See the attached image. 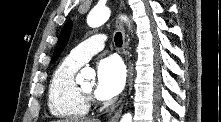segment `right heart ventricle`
Segmentation results:
<instances>
[{
	"instance_id": "obj_1",
	"label": "right heart ventricle",
	"mask_w": 221,
	"mask_h": 122,
	"mask_svg": "<svg viewBox=\"0 0 221 122\" xmlns=\"http://www.w3.org/2000/svg\"><path fill=\"white\" fill-rule=\"evenodd\" d=\"M80 67L67 57L54 70L48 86V108L55 117L78 118L88 113L89 103L75 81Z\"/></svg>"
}]
</instances>
